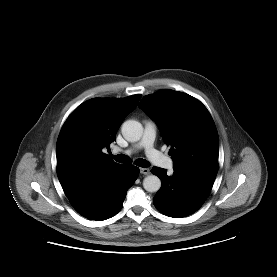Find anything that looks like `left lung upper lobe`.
<instances>
[{
    "label": "left lung upper lobe",
    "instance_id": "1",
    "mask_svg": "<svg viewBox=\"0 0 277 277\" xmlns=\"http://www.w3.org/2000/svg\"><path fill=\"white\" fill-rule=\"evenodd\" d=\"M171 145L173 169L217 175L219 137L206 107L196 98L174 90H161L139 103Z\"/></svg>",
    "mask_w": 277,
    "mask_h": 277
}]
</instances>
